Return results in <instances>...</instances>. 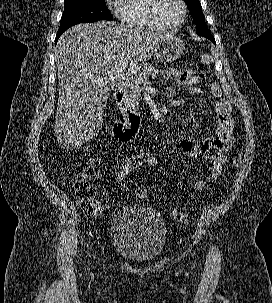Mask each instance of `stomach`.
<instances>
[{
	"label": "stomach",
	"mask_w": 272,
	"mask_h": 303,
	"mask_svg": "<svg viewBox=\"0 0 272 303\" xmlns=\"http://www.w3.org/2000/svg\"><path fill=\"white\" fill-rule=\"evenodd\" d=\"M185 49V45L180 38L173 35L161 41L155 50V57L159 62H172L178 59Z\"/></svg>",
	"instance_id": "stomach-1"
}]
</instances>
